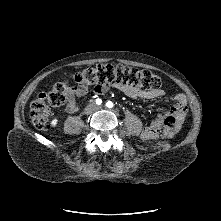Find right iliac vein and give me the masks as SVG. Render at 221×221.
Masks as SVG:
<instances>
[{"instance_id": "63e3f726", "label": "right iliac vein", "mask_w": 221, "mask_h": 221, "mask_svg": "<svg viewBox=\"0 0 221 221\" xmlns=\"http://www.w3.org/2000/svg\"><path fill=\"white\" fill-rule=\"evenodd\" d=\"M91 111H92V110H91V109H89V110H87V113H91Z\"/></svg>"}]
</instances>
